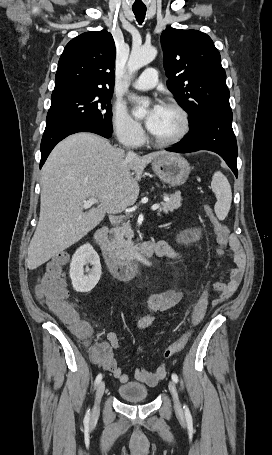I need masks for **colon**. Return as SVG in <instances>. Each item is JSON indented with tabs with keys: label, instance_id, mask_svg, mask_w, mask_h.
<instances>
[{
	"label": "colon",
	"instance_id": "1",
	"mask_svg": "<svg viewBox=\"0 0 272 455\" xmlns=\"http://www.w3.org/2000/svg\"><path fill=\"white\" fill-rule=\"evenodd\" d=\"M206 211L217 237L218 256L223 257L228 244V228L214 216L211 208L207 207ZM65 260L64 255H58L46 264L38 280L37 295L50 310L71 326L75 334L80 337H88L91 334L90 326L79 318L75 306L68 302L69 292L64 280ZM210 287L209 283L194 306L192 327L197 326L205 316L209 304ZM191 333L192 328L166 348L163 353L164 357L169 358L180 352L188 343Z\"/></svg>",
	"mask_w": 272,
	"mask_h": 455
}]
</instances>
